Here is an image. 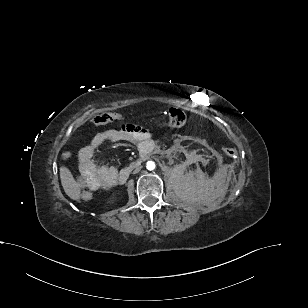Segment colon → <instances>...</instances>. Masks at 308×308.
<instances>
[{
  "mask_svg": "<svg viewBox=\"0 0 308 308\" xmlns=\"http://www.w3.org/2000/svg\"><path fill=\"white\" fill-rule=\"evenodd\" d=\"M123 116L116 112H107L96 116L93 119L95 125H104L113 121L121 120ZM186 122V114L179 108L172 107L168 110L167 115L157 121V126L160 128H176L183 126ZM224 154L233 158L236 156V150L231 147H225L223 149ZM93 198V191L85 188L80 193V199L83 201H90Z\"/></svg>",
  "mask_w": 308,
  "mask_h": 308,
  "instance_id": "5ec220e1",
  "label": "colon"
}]
</instances>
